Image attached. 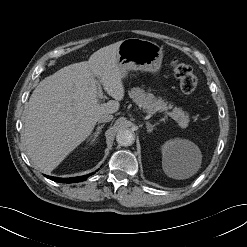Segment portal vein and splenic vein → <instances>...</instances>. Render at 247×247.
I'll list each match as a JSON object with an SVG mask.
<instances>
[{"label":"portal vein and splenic vein","instance_id":"obj_1","mask_svg":"<svg viewBox=\"0 0 247 247\" xmlns=\"http://www.w3.org/2000/svg\"><path fill=\"white\" fill-rule=\"evenodd\" d=\"M98 89H99V90H98V96H99L100 99H103L104 96H103L102 88L99 87ZM165 114H166L167 116L173 118V119L175 118V116H174V114H173L172 112H166Z\"/></svg>","mask_w":247,"mask_h":247}]
</instances>
